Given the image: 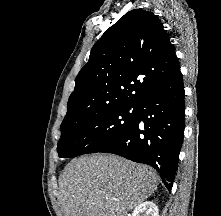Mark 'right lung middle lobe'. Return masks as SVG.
I'll list each match as a JSON object with an SVG mask.
<instances>
[{"mask_svg": "<svg viewBox=\"0 0 221 216\" xmlns=\"http://www.w3.org/2000/svg\"><path fill=\"white\" fill-rule=\"evenodd\" d=\"M136 116V105L113 106L92 112L74 123H62L57 146L59 157L99 152L131 127Z\"/></svg>", "mask_w": 221, "mask_h": 216, "instance_id": "obj_1", "label": "right lung middle lobe"}]
</instances>
